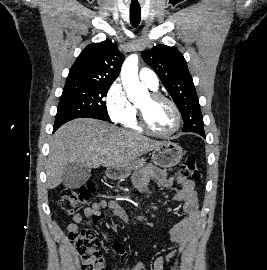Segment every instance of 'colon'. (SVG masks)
Returning <instances> with one entry per match:
<instances>
[{
	"mask_svg": "<svg viewBox=\"0 0 267 270\" xmlns=\"http://www.w3.org/2000/svg\"><path fill=\"white\" fill-rule=\"evenodd\" d=\"M193 181L200 178L195 156L188 155L182 166V173ZM95 183H88L78 188L66 189L61 193L59 207L68 216L78 213L82 204L86 203L96 192ZM70 243L74 246L76 254L81 262L82 270H104V259L101 250V243L97 236L87 230L68 229L67 233Z\"/></svg>",
	"mask_w": 267,
	"mask_h": 270,
	"instance_id": "obj_1",
	"label": "colon"
}]
</instances>
